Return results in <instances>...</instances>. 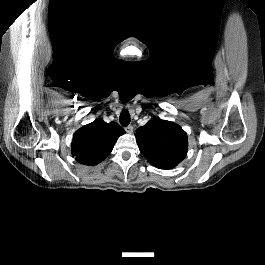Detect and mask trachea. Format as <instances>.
<instances>
[{
    "label": "trachea",
    "mask_w": 265,
    "mask_h": 265,
    "mask_svg": "<svg viewBox=\"0 0 265 265\" xmlns=\"http://www.w3.org/2000/svg\"><path fill=\"white\" fill-rule=\"evenodd\" d=\"M119 120H120V123L122 126H128L129 125L131 118H130V114H129L128 110L124 109L121 112Z\"/></svg>",
    "instance_id": "1"
}]
</instances>
